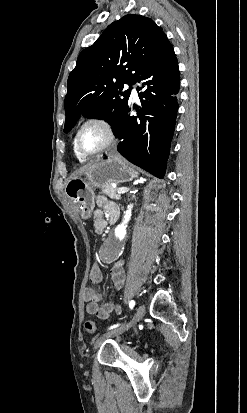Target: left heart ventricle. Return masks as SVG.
<instances>
[{
    "label": "left heart ventricle",
    "instance_id": "obj_1",
    "mask_svg": "<svg viewBox=\"0 0 247 413\" xmlns=\"http://www.w3.org/2000/svg\"><path fill=\"white\" fill-rule=\"evenodd\" d=\"M108 132L104 128L90 126L85 128L80 134V145L87 152L99 149L107 140Z\"/></svg>",
    "mask_w": 247,
    "mask_h": 413
}]
</instances>
